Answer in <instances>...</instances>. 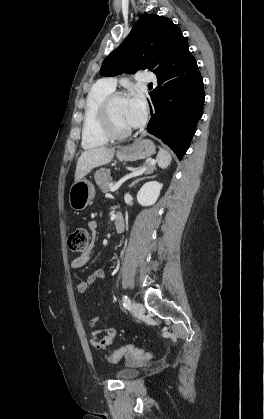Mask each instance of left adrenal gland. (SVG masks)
<instances>
[{
    "label": "left adrenal gland",
    "mask_w": 264,
    "mask_h": 419,
    "mask_svg": "<svg viewBox=\"0 0 264 419\" xmlns=\"http://www.w3.org/2000/svg\"><path fill=\"white\" fill-rule=\"evenodd\" d=\"M146 178H150V176L137 178L136 180H134V181H133V182L129 185V187L134 186L135 184H137L138 182H140L141 180H144V179H146Z\"/></svg>",
    "instance_id": "a2214340"
}]
</instances>
